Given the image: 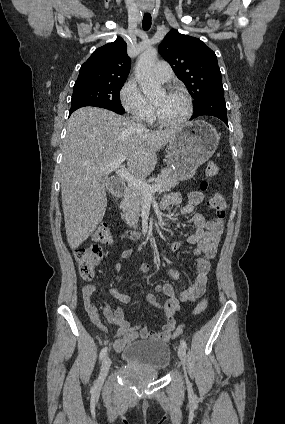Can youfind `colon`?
<instances>
[{
  "mask_svg": "<svg viewBox=\"0 0 285 424\" xmlns=\"http://www.w3.org/2000/svg\"><path fill=\"white\" fill-rule=\"evenodd\" d=\"M219 166L214 161H209L204 168V176L211 179L219 174ZM201 182L202 191L207 190V181ZM209 204L213 210V216L208 223L206 237L200 245V249L206 258H213L220 244L224 231V220L226 216L227 202L223 193L212 192L209 196ZM94 238L101 244L109 245L112 243V235L108 225L102 223L95 231ZM74 257L79 265V274L83 280L89 281L94 277V270L102 260V251L99 245L92 244L83 248L74 250ZM207 301L202 300L194 309V314L198 315L205 311ZM183 332L182 327L174 331V335H180Z\"/></svg>",
  "mask_w": 285,
  "mask_h": 424,
  "instance_id": "colon-1",
  "label": "colon"
}]
</instances>
